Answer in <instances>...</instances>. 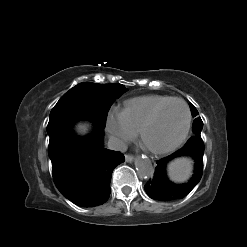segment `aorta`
<instances>
[{
    "mask_svg": "<svg viewBox=\"0 0 247 247\" xmlns=\"http://www.w3.org/2000/svg\"><path fill=\"white\" fill-rule=\"evenodd\" d=\"M135 167L138 176L143 179H150L154 175V167L147 157H137L135 160Z\"/></svg>",
    "mask_w": 247,
    "mask_h": 247,
    "instance_id": "obj_1",
    "label": "aorta"
}]
</instances>
